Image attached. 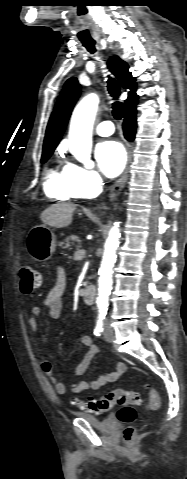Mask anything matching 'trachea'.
I'll use <instances>...</instances> for the list:
<instances>
[{
    "instance_id": "1",
    "label": "trachea",
    "mask_w": 187,
    "mask_h": 479,
    "mask_svg": "<svg viewBox=\"0 0 187 479\" xmlns=\"http://www.w3.org/2000/svg\"><path fill=\"white\" fill-rule=\"evenodd\" d=\"M82 44L90 53H95V41L86 40L82 41ZM108 91L113 100H115V102L112 104V114L115 119L120 120L124 115V107L123 104L118 101L120 96V88L117 84V81L113 78L108 79Z\"/></svg>"
}]
</instances>
